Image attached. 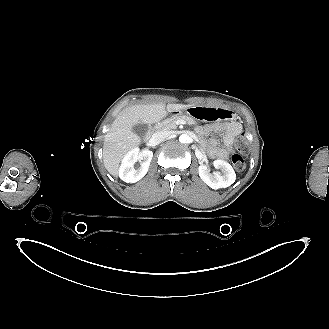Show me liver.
I'll list each match as a JSON object with an SVG mask.
<instances>
[{
    "mask_svg": "<svg viewBox=\"0 0 329 329\" xmlns=\"http://www.w3.org/2000/svg\"><path fill=\"white\" fill-rule=\"evenodd\" d=\"M191 106L184 104L166 106L164 103H154L139 104L123 109L104 138L103 162L107 171L117 177L122 158L128 151L141 144V138L132 131L134 125L153 124L166 117L167 112L172 113Z\"/></svg>",
    "mask_w": 329,
    "mask_h": 329,
    "instance_id": "obj_1",
    "label": "liver"
}]
</instances>
